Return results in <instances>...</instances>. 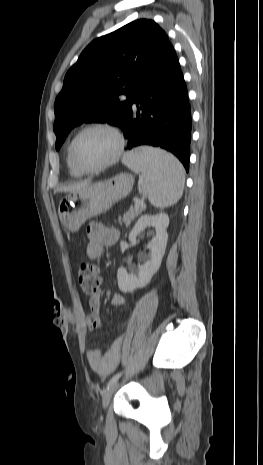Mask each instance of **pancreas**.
<instances>
[{
  "instance_id": "obj_1",
  "label": "pancreas",
  "mask_w": 263,
  "mask_h": 465,
  "mask_svg": "<svg viewBox=\"0 0 263 465\" xmlns=\"http://www.w3.org/2000/svg\"><path fill=\"white\" fill-rule=\"evenodd\" d=\"M145 210L144 203L139 207L130 208L123 216L118 217L119 223L122 225L124 223L126 226H129L131 222Z\"/></svg>"
}]
</instances>
